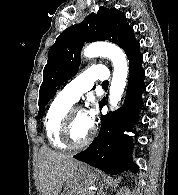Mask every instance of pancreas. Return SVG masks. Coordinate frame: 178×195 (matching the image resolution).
I'll use <instances>...</instances> for the list:
<instances>
[{"instance_id":"obj_1","label":"pancreas","mask_w":178,"mask_h":195,"mask_svg":"<svg viewBox=\"0 0 178 195\" xmlns=\"http://www.w3.org/2000/svg\"><path fill=\"white\" fill-rule=\"evenodd\" d=\"M85 195H92L90 192L86 193Z\"/></svg>"}]
</instances>
